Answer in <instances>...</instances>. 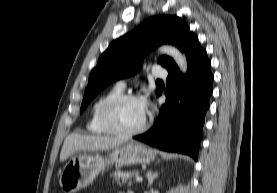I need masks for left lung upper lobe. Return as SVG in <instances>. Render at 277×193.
Masks as SVG:
<instances>
[{"label":"left lung upper lobe","instance_id":"obj_1","mask_svg":"<svg viewBox=\"0 0 277 193\" xmlns=\"http://www.w3.org/2000/svg\"><path fill=\"white\" fill-rule=\"evenodd\" d=\"M193 37L195 35L179 17L157 16L147 19L134 31L113 41L90 74L80 113L111 82L137 73L149 51L160 44L170 43L184 52ZM158 63L167 69L175 65L168 56L160 57ZM160 93L156 91L157 95Z\"/></svg>","mask_w":277,"mask_h":193}]
</instances>
